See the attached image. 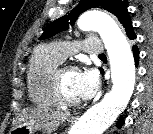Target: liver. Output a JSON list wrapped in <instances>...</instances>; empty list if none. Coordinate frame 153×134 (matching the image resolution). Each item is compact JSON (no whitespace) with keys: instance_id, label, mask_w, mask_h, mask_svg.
<instances>
[{"instance_id":"1","label":"liver","mask_w":153,"mask_h":134,"mask_svg":"<svg viewBox=\"0 0 153 134\" xmlns=\"http://www.w3.org/2000/svg\"><path fill=\"white\" fill-rule=\"evenodd\" d=\"M68 114L59 109H25L20 114V124H29L36 128L43 129L45 132L51 133L61 122L67 118Z\"/></svg>"}]
</instances>
